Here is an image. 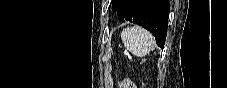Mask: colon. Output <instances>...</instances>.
I'll return each instance as SVG.
<instances>
[{
    "label": "colon",
    "instance_id": "colon-1",
    "mask_svg": "<svg viewBox=\"0 0 227 88\" xmlns=\"http://www.w3.org/2000/svg\"><path fill=\"white\" fill-rule=\"evenodd\" d=\"M124 87H126V88H135V86L131 82H126Z\"/></svg>",
    "mask_w": 227,
    "mask_h": 88
}]
</instances>
